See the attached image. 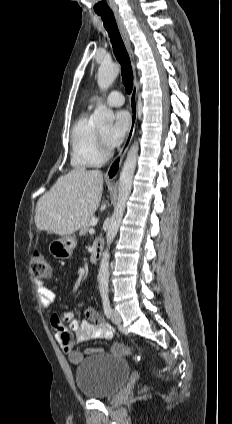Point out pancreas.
<instances>
[{"instance_id": "cf45deb5", "label": "pancreas", "mask_w": 232, "mask_h": 424, "mask_svg": "<svg viewBox=\"0 0 232 424\" xmlns=\"http://www.w3.org/2000/svg\"><path fill=\"white\" fill-rule=\"evenodd\" d=\"M93 218H95V217H91L87 222H86V224L81 228V230H80V235L82 236V235H86L87 234V232L89 231V229H90V227H91V220L93 219Z\"/></svg>"}]
</instances>
